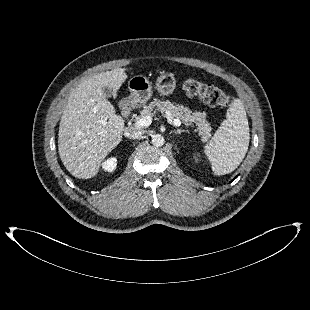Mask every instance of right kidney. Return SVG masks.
<instances>
[{"label": "right kidney", "instance_id": "1", "mask_svg": "<svg viewBox=\"0 0 310 310\" xmlns=\"http://www.w3.org/2000/svg\"><path fill=\"white\" fill-rule=\"evenodd\" d=\"M116 166H117V160L114 157L109 158L102 164V168L104 169V171L107 172H113L116 169Z\"/></svg>", "mask_w": 310, "mask_h": 310}]
</instances>
